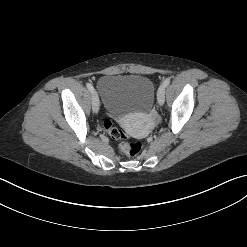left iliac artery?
Returning a JSON list of instances; mask_svg holds the SVG:
<instances>
[{"label":"left iliac artery","instance_id":"left-iliac-artery-1","mask_svg":"<svg viewBox=\"0 0 247 247\" xmlns=\"http://www.w3.org/2000/svg\"><path fill=\"white\" fill-rule=\"evenodd\" d=\"M170 80H171L170 77H168V78H166V79L164 80V82H163L164 87H167V86L169 85Z\"/></svg>","mask_w":247,"mask_h":247}]
</instances>
